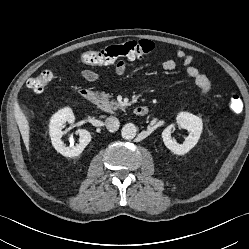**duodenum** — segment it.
I'll return each instance as SVG.
<instances>
[{"label":"duodenum","instance_id":"obj_1","mask_svg":"<svg viewBox=\"0 0 249 249\" xmlns=\"http://www.w3.org/2000/svg\"><path fill=\"white\" fill-rule=\"evenodd\" d=\"M80 96L85 99L86 101L92 102L96 100V93L87 87H83L79 90ZM148 106L146 105H139L134 109V113L136 116L142 117L148 113Z\"/></svg>","mask_w":249,"mask_h":249}]
</instances>
